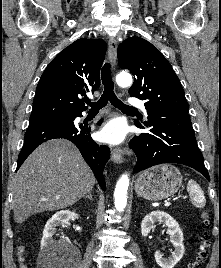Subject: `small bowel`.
<instances>
[{
  "label": "small bowel",
  "mask_w": 221,
  "mask_h": 268,
  "mask_svg": "<svg viewBox=\"0 0 221 268\" xmlns=\"http://www.w3.org/2000/svg\"><path fill=\"white\" fill-rule=\"evenodd\" d=\"M21 268H28V267H27V266H25V265H22V266H21Z\"/></svg>",
  "instance_id": "1"
}]
</instances>
